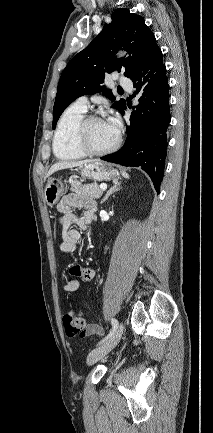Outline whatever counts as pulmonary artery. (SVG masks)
I'll return each instance as SVG.
<instances>
[{"instance_id": "1", "label": "pulmonary artery", "mask_w": 213, "mask_h": 433, "mask_svg": "<svg viewBox=\"0 0 213 433\" xmlns=\"http://www.w3.org/2000/svg\"><path fill=\"white\" fill-rule=\"evenodd\" d=\"M119 83L122 87L126 88L127 90H131L133 87L131 80L124 77V76H121L119 78ZM75 104L77 106L87 110L88 105H89L88 98L86 96H81L76 100Z\"/></svg>"}]
</instances>
